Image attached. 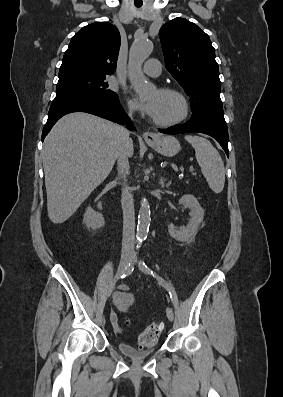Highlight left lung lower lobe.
Masks as SVG:
<instances>
[{"label": "left lung lower lobe", "instance_id": "left-lung-lower-lobe-1", "mask_svg": "<svg viewBox=\"0 0 283 397\" xmlns=\"http://www.w3.org/2000/svg\"><path fill=\"white\" fill-rule=\"evenodd\" d=\"M159 131L164 134L199 132L210 135L219 142L229 157L228 129L223 114L204 110L196 111L185 124L175 125L164 130L159 129Z\"/></svg>", "mask_w": 283, "mask_h": 397}]
</instances>
